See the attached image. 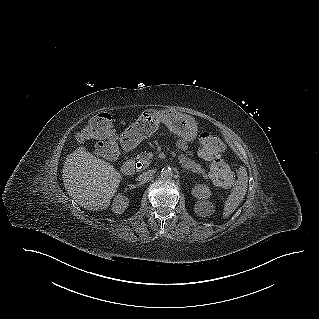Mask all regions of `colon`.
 <instances>
[{
    "instance_id": "5ec220e1",
    "label": "colon",
    "mask_w": 319,
    "mask_h": 319,
    "mask_svg": "<svg viewBox=\"0 0 319 319\" xmlns=\"http://www.w3.org/2000/svg\"><path fill=\"white\" fill-rule=\"evenodd\" d=\"M83 140L94 139L100 143L99 153L108 161L118 158L117 131L111 123L108 114H97L90 124L82 132ZM200 154L211 162L210 171L213 180L220 185H229L233 182V174L220 159L223 151L221 139L211 133H203L200 136Z\"/></svg>"
}]
</instances>
